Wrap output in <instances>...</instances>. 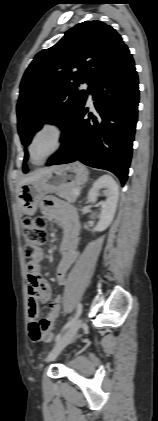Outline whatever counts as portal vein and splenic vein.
I'll return each mask as SVG.
<instances>
[{"label":"portal vein and splenic vein","instance_id":"1","mask_svg":"<svg viewBox=\"0 0 158 421\" xmlns=\"http://www.w3.org/2000/svg\"><path fill=\"white\" fill-rule=\"evenodd\" d=\"M74 194L78 196L80 194V191L78 189H75Z\"/></svg>","mask_w":158,"mask_h":421}]
</instances>
